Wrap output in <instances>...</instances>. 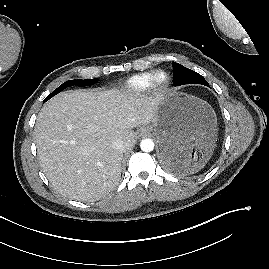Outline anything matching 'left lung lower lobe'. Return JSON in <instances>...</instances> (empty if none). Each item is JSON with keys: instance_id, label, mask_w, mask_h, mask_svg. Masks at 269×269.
<instances>
[{"instance_id": "0a47b994", "label": "left lung lower lobe", "mask_w": 269, "mask_h": 269, "mask_svg": "<svg viewBox=\"0 0 269 269\" xmlns=\"http://www.w3.org/2000/svg\"><path fill=\"white\" fill-rule=\"evenodd\" d=\"M172 158V152L167 151L166 152V159Z\"/></svg>"}]
</instances>
